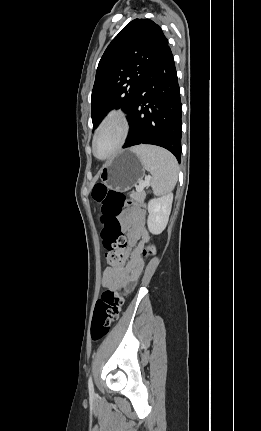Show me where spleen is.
I'll return each mask as SVG.
<instances>
[{"mask_svg": "<svg viewBox=\"0 0 261 431\" xmlns=\"http://www.w3.org/2000/svg\"><path fill=\"white\" fill-rule=\"evenodd\" d=\"M141 160L144 169L152 175L151 187L157 196L170 193L178 179V163L176 158L167 150L140 145L131 149Z\"/></svg>", "mask_w": 261, "mask_h": 431, "instance_id": "spleen-1", "label": "spleen"}]
</instances>
